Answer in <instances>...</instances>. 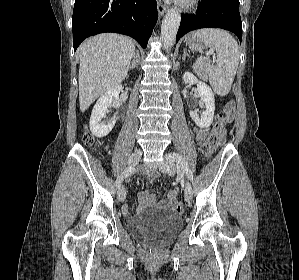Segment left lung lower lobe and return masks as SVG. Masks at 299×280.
<instances>
[{"mask_svg": "<svg viewBox=\"0 0 299 280\" xmlns=\"http://www.w3.org/2000/svg\"><path fill=\"white\" fill-rule=\"evenodd\" d=\"M200 28H222L242 40L239 0H200L196 14H182L176 42L184 34Z\"/></svg>", "mask_w": 299, "mask_h": 280, "instance_id": "0a47b994", "label": "left lung lower lobe"}]
</instances>
